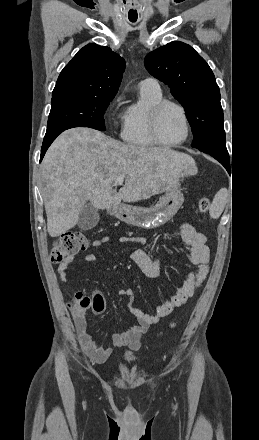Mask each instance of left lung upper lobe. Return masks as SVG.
I'll return each mask as SVG.
<instances>
[{
	"label": "left lung upper lobe",
	"instance_id": "1",
	"mask_svg": "<svg viewBox=\"0 0 259 440\" xmlns=\"http://www.w3.org/2000/svg\"><path fill=\"white\" fill-rule=\"evenodd\" d=\"M144 63L184 107L192 147L226 146L220 90L206 61L188 44L173 41L150 52Z\"/></svg>",
	"mask_w": 259,
	"mask_h": 440
}]
</instances>
